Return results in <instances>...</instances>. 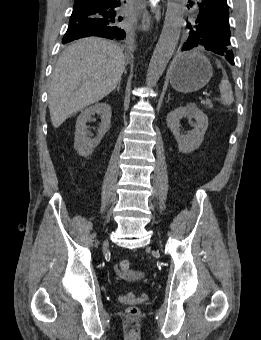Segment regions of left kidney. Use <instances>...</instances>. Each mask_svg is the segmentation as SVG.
Segmentation results:
<instances>
[{
    "mask_svg": "<svg viewBox=\"0 0 261 340\" xmlns=\"http://www.w3.org/2000/svg\"><path fill=\"white\" fill-rule=\"evenodd\" d=\"M183 117L194 118L196 124L194 129L187 134L180 133V120ZM167 126L174 134L178 143L179 151L190 153L197 149L204 140L208 128V117L196 104L189 103L185 107H178L167 115Z\"/></svg>",
    "mask_w": 261,
    "mask_h": 340,
    "instance_id": "1",
    "label": "left kidney"
}]
</instances>
